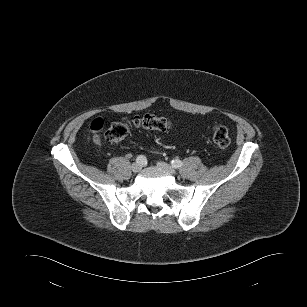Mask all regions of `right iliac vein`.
I'll return each instance as SVG.
<instances>
[{
  "mask_svg": "<svg viewBox=\"0 0 307 307\" xmlns=\"http://www.w3.org/2000/svg\"><path fill=\"white\" fill-rule=\"evenodd\" d=\"M132 171L134 172V173H137V172H139L140 170H141V168H142V165L140 164V163H133L132 164Z\"/></svg>",
  "mask_w": 307,
  "mask_h": 307,
  "instance_id": "obj_1",
  "label": "right iliac vein"
}]
</instances>
